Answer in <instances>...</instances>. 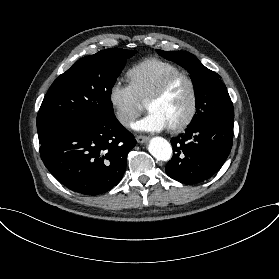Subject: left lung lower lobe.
Returning a JSON list of instances; mask_svg holds the SVG:
<instances>
[{
	"label": "left lung lower lobe",
	"mask_w": 279,
	"mask_h": 279,
	"mask_svg": "<svg viewBox=\"0 0 279 279\" xmlns=\"http://www.w3.org/2000/svg\"><path fill=\"white\" fill-rule=\"evenodd\" d=\"M171 143L175 153L165 167L167 175L186 184L202 182L226 161L233 143V122L203 120Z\"/></svg>",
	"instance_id": "0a47b994"
}]
</instances>
